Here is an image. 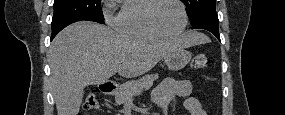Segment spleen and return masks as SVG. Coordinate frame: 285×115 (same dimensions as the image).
I'll return each mask as SVG.
<instances>
[{"mask_svg":"<svg viewBox=\"0 0 285 115\" xmlns=\"http://www.w3.org/2000/svg\"><path fill=\"white\" fill-rule=\"evenodd\" d=\"M201 41L206 42L208 39L206 36H204L203 34H199Z\"/></svg>","mask_w":285,"mask_h":115,"instance_id":"spleen-1","label":"spleen"}]
</instances>
